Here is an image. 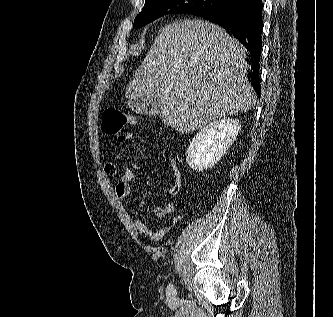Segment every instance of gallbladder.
Here are the masks:
<instances>
[{
    "mask_svg": "<svg viewBox=\"0 0 333 317\" xmlns=\"http://www.w3.org/2000/svg\"><path fill=\"white\" fill-rule=\"evenodd\" d=\"M129 107L138 114L155 115L161 107V100L154 96H142L128 101Z\"/></svg>",
    "mask_w": 333,
    "mask_h": 317,
    "instance_id": "obj_1",
    "label": "gallbladder"
}]
</instances>
